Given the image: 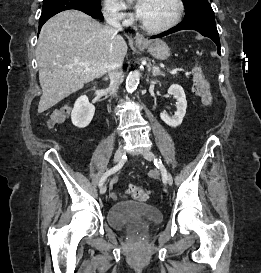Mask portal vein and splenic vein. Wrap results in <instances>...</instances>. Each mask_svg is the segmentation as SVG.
<instances>
[{
    "instance_id": "1",
    "label": "portal vein and splenic vein",
    "mask_w": 261,
    "mask_h": 273,
    "mask_svg": "<svg viewBox=\"0 0 261 273\" xmlns=\"http://www.w3.org/2000/svg\"><path fill=\"white\" fill-rule=\"evenodd\" d=\"M76 64H78V65H80V66H83L84 69H85L86 71H89V70H90V69H89L90 64L87 63V62H76ZM179 71H180V70H178V69H174V70H171L170 73H171V74H177Z\"/></svg>"
}]
</instances>
